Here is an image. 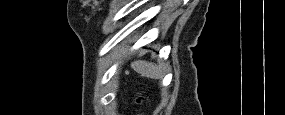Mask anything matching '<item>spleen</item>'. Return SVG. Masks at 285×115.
I'll list each match as a JSON object with an SVG mask.
<instances>
[{"mask_svg": "<svg viewBox=\"0 0 285 115\" xmlns=\"http://www.w3.org/2000/svg\"><path fill=\"white\" fill-rule=\"evenodd\" d=\"M132 68L137 73L148 78L161 79L163 77L161 67L147 61L138 60L132 64Z\"/></svg>", "mask_w": 285, "mask_h": 115, "instance_id": "obj_1", "label": "spleen"}]
</instances>
